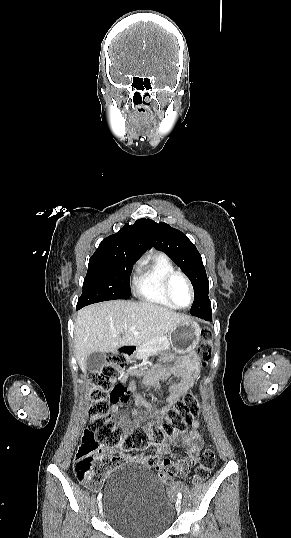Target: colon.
<instances>
[{
    "label": "colon",
    "instance_id": "obj_1",
    "mask_svg": "<svg viewBox=\"0 0 291 538\" xmlns=\"http://www.w3.org/2000/svg\"><path fill=\"white\" fill-rule=\"evenodd\" d=\"M207 334H205L206 336ZM197 353L202 363L210 359L212 347L208 342L201 344ZM128 359L121 353H111L102 367L91 375L90 421L82 436L74 462V473L78 481L88 487H97L117 465L114 456H105L100 448L113 452L120 449L124 453L143 452L152 443L161 446L166 438L175 437L186 430L194 416L199 413V398L191 392L185 393L176 404L158 422L149 427H134L125 435L123 429L110 417V405H120L129 400L127 388L117 383ZM215 454L209 447L200 454L199 464L195 469L193 484L205 481L215 466ZM146 465L155 467L165 484H170L175 474L174 467L168 459L155 456Z\"/></svg>",
    "mask_w": 291,
    "mask_h": 538
}]
</instances>
